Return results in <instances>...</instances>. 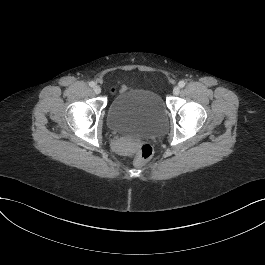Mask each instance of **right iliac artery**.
<instances>
[{
  "label": "right iliac artery",
  "instance_id": "82829eb1",
  "mask_svg": "<svg viewBox=\"0 0 265 265\" xmlns=\"http://www.w3.org/2000/svg\"><path fill=\"white\" fill-rule=\"evenodd\" d=\"M89 86L90 87H94L95 86V82H93V81L89 82Z\"/></svg>",
  "mask_w": 265,
  "mask_h": 265
}]
</instances>
